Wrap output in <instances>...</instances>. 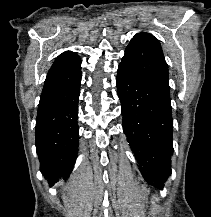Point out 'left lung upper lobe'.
I'll use <instances>...</instances> for the list:
<instances>
[{
  "instance_id": "left-lung-upper-lobe-1",
  "label": "left lung upper lobe",
  "mask_w": 211,
  "mask_h": 217,
  "mask_svg": "<svg viewBox=\"0 0 211 217\" xmlns=\"http://www.w3.org/2000/svg\"><path fill=\"white\" fill-rule=\"evenodd\" d=\"M120 64L170 97L168 65L160 42L153 35L144 32L136 34L128 44Z\"/></svg>"
}]
</instances>
